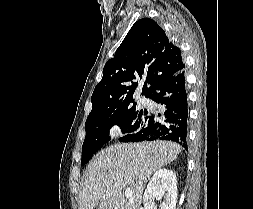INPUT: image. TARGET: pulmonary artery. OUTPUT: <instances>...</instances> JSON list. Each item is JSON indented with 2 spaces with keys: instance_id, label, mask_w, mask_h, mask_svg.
<instances>
[{
  "instance_id": "1",
  "label": "pulmonary artery",
  "mask_w": 253,
  "mask_h": 209,
  "mask_svg": "<svg viewBox=\"0 0 253 209\" xmlns=\"http://www.w3.org/2000/svg\"><path fill=\"white\" fill-rule=\"evenodd\" d=\"M143 102H147V100H146V99H143Z\"/></svg>"
}]
</instances>
